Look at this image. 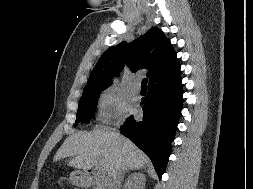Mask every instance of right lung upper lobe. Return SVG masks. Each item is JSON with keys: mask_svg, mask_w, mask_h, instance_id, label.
I'll use <instances>...</instances> for the list:
<instances>
[{"mask_svg": "<svg viewBox=\"0 0 253 189\" xmlns=\"http://www.w3.org/2000/svg\"><path fill=\"white\" fill-rule=\"evenodd\" d=\"M126 61L133 72L148 69L149 85L180 73L170 41L160 29L153 27L130 44L124 41L107 49L91 72L84 91L107 87Z\"/></svg>", "mask_w": 253, "mask_h": 189, "instance_id": "right-lung-upper-lobe-1", "label": "right lung upper lobe"}]
</instances>
